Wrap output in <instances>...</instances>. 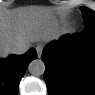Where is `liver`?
Returning a JSON list of instances; mask_svg holds the SVG:
<instances>
[{
	"label": "liver",
	"instance_id": "obj_1",
	"mask_svg": "<svg viewBox=\"0 0 95 95\" xmlns=\"http://www.w3.org/2000/svg\"><path fill=\"white\" fill-rule=\"evenodd\" d=\"M61 34L54 9L46 6H23L0 12V57L6 58L16 43L28 47L32 42H49Z\"/></svg>",
	"mask_w": 95,
	"mask_h": 95
}]
</instances>
